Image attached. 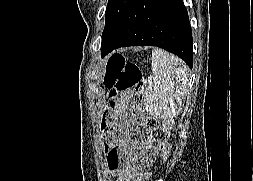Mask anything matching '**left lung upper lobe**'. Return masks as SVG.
I'll use <instances>...</instances> for the list:
<instances>
[{"instance_id": "5c2ea615", "label": "left lung upper lobe", "mask_w": 253, "mask_h": 181, "mask_svg": "<svg viewBox=\"0 0 253 181\" xmlns=\"http://www.w3.org/2000/svg\"><path fill=\"white\" fill-rule=\"evenodd\" d=\"M132 0H109L105 11V28L102 34V38L110 31L114 26L118 18L121 16L125 8Z\"/></svg>"}]
</instances>
